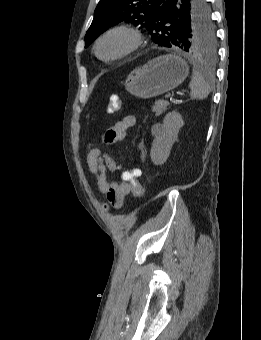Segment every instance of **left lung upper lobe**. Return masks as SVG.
Returning a JSON list of instances; mask_svg holds the SVG:
<instances>
[{"mask_svg": "<svg viewBox=\"0 0 261 340\" xmlns=\"http://www.w3.org/2000/svg\"><path fill=\"white\" fill-rule=\"evenodd\" d=\"M166 0H100L94 19L85 35V47L100 34L121 21L150 30L159 46L178 47L184 51L214 54L215 29L205 0H194L191 14L182 16L176 25L159 18Z\"/></svg>", "mask_w": 261, "mask_h": 340, "instance_id": "left-lung-upper-lobe-1", "label": "left lung upper lobe"}]
</instances>
